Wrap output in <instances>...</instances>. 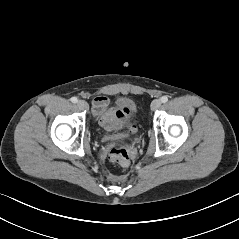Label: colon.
<instances>
[{
	"mask_svg": "<svg viewBox=\"0 0 239 239\" xmlns=\"http://www.w3.org/2000/svg\"><path fill=\"white\" fill-rule=\"evenodd\" d=\"M109 160L121 166H127L130 163V152L126 146L115 147L109 153Z\"/></svg>",
	"mask_w": 239,
	"mask_h": 239,
	"instance_id": "obj_1",
	"label": "colon"
}]
</instances>
